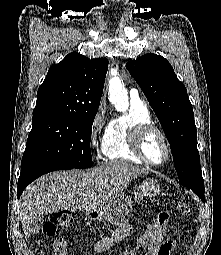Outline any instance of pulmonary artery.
Instances as JSON below:
<instances>
[{
  "instance_id": "e3ab8cb5",
  "label": "pulmonary artery",
  "mask_w": 221,
  "mask_h": 255,
  "mask_svg": "<svg viewBox=\"0 0 221 255\" xmlns=\"http://www.w3.org/2000/svg\"><path fill=\"white\" fill-rule=\"evenodd\" d=\"M130 98L131 101L133 102H138V103H143V98L141 97V95L139 94V92L136 89H132L130 91Z\"/></svg>"
}]
</instances>
